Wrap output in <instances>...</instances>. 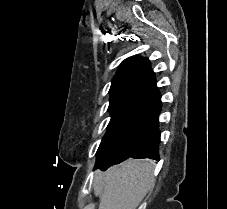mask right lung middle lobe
I'll list each match as a JSON object with an SVG mask.
<instances>
[{
    "label": "right lung middle lobe",
    "instance_id": "obj_1",
    "mask_svg": "<svg viewBox=\"0 0 227 209\" xmlns=\"http://www.w3.org/2000/svg\"><path fill=\"white\" fill-rule=\"evenodd\" d=\"M111 120L96 153L95 168L107 169L109 157L134 138L149 123L153 108L123 100L109 108Z\"/></svg>",
    "mask_w": 227,
    "mask_h": 209
}]
</instances>
